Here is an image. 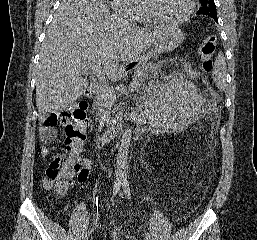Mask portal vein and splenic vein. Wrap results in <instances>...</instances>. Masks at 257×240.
I'll list each match as a JSON object with an SVG mask.
<instances>
[{"mask_svg": "<svg viewBox=\"0 0 257 240\" xmlns=\"http://www.w3.org/2000/svg\"><path fill=\"white\" fill-rule=\"evenodd\" d=\"M101 62H102V60L97 59V60H94L91 63L90 62L89 63H85L83 68L85 69V71L93 72L94 75H96L97 77H99L103 81L105 73H104V70L101 67ZM133 88H134V86L131 85L130 89L133 90ZM114 98H116V97H114Z\"/></svg>", "mask_w": 257, "mask_h": 240, "instance_id": "18ae733b", "label": "portal vein and splenic vein"}]
</instances>
